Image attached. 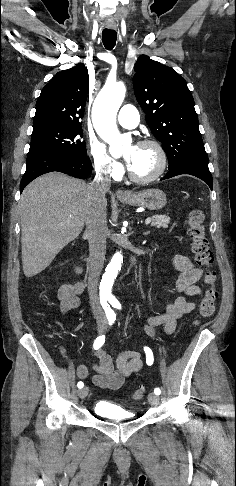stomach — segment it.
Masks as SVG:
<instances>
[{
    "mask_svg": "<svg viewBox=\"0 0 236 486\" xmlns=\"http://www.w3.org/2000/svg\"><path fill=\"white\" fill-rule=\"evenodd\" d=\"M120 201L130 206L144 207L149 210H159L166 205L167 197L160 189H145L132 194L129 198H122Z\"/></svg>",
    "mask_w": 236,
    "mask_h": 486,
    "instance_id": "obj_1",
    "label": "stomach"
}]
</instances>
